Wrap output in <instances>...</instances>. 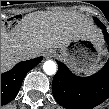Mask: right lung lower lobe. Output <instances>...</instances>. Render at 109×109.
Instances as JSON below:
<instances>
[{"label":"right lung lower lobe","instance_id":"98d812e1","mask_svg":"<svg viewBox=\"0 0 109 109\" xmlns=\"http://www.w3.org/2000/svg\"><path fill=\"white\" fill-rule=\"evenodd\" d=\"M42 57L22 61L1 74V106L12 101L19 92L25 75L42 61Z\"/></svg>","mask_w":109,"mask_h":109}]
</instances>
